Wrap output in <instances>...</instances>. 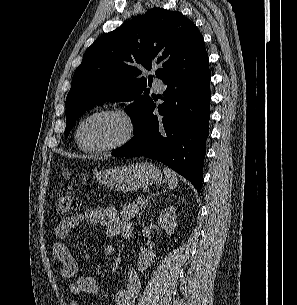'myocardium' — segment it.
I'll use <instances>...</instances> for the list:
<instances>
[{
  "label": "myocardium",
  "instance_id": "myocardium-1",
  "mask_svg": "<svg viewBox=\"0 0 297 305\" xmlns=\"http://www.w3.org/2000/svg\"><path fill=\"white\" fill-rule=\"evenodd\" d=\"M98 116H112L117 118L122 122L124 126V133L117 141L111 144L102 145V146H86L82 142L81 129L85 124V122H87L91 118ZM134 130H135V126L133 120L128 113L120 109L103 108L92 111L79 120L75 128V138L81 150L89 153H104V152H111L125 146L132 139L134 135Z\"/></svg>",
  "mask_w": 297,
  "mask_h": 305
}]
</instances>
